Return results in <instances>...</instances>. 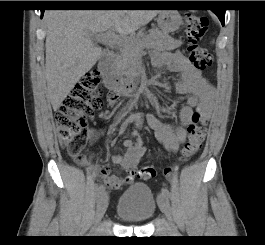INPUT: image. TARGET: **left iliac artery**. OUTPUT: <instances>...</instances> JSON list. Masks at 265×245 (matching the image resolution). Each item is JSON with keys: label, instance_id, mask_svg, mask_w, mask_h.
<instances>
[{"label": "left iliac artery", "instance_id": "1", "mask_svg": "<svg viewBox=\"0 0 265 245\" xmlns=\"http://www.w3.org/2000/svg\"><path fill=\"white\" fill-rule=\"evenodd\" d=\"M162 194L166 195L167 197H170V192L167 188H162Z\"/></svg>", "mask_w": 265, "mask_h": 245}]
</instances>
